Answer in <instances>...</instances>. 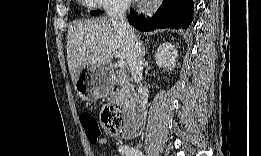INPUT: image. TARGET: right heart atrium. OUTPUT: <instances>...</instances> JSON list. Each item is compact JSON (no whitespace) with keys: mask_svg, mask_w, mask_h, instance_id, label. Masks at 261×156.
<instances>
[{"mask_svg":"<svg viewBox=\"0 0 261 156\" xmlns=\"http://www.w3.org/2000/svg\"><path fill=\"white\" fill-rule=\"evenodd\" d=\"M89 4H91L93 6L104 7L106 9L114 8V7L120 5L119 3L114 2V1H103V0L89 1Z\"/></svg>","mask_w":261,"mask_h":156,"instance_id":"right-heart-atrium-1","label":"right heart atrium"}]
</instances>
